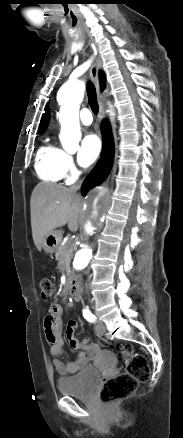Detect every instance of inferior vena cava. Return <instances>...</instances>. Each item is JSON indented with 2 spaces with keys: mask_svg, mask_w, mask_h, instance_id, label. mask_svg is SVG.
I'll use <instances>...</instances> for the list:
<instances>
[{
  "mask_svg": "<svg viewBox=\"0 0 183 438\" xmlns=\"http://www.w3.org/2000/svg\"><path fill=\"white\" fill-rule=\"evenodd\" d=\"M79 188H80V185L71 187V189H72L73 191H77Z\"/></svg>",
  "mask_w": 183,
  "mask_h": 438,
  "instance_id": "1",
  "label": "inferior vena cava"
}]
</instances>
